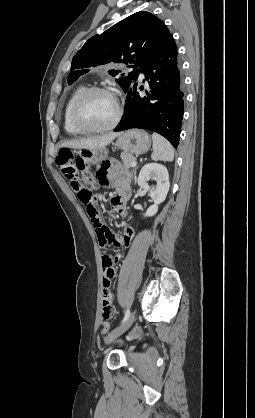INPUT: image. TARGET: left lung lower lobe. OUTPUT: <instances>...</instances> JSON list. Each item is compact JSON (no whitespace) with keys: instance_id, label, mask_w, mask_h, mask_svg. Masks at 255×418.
Returning a JSON list of instances; mask_svg holds the SVG:
<instances>
[{"instance_id":"0a47b994","label":"left lung lower lobe","mask_w":255,"mask_h":418,"mask_svg":"<svg viewBox=\"0 0 255 418\" xmlns=\"http://www.w3.org/2000/svg\"><path fill=\"white\" fill-rule=\"evenodd\" d=\"M150 86L147 97L136 92V83L127 91L126 110L114 131L147 129L164 136L177 147L184 112L183 74L173 37L164 49L149 57L136 71Z\"/></svg>"}]
</instances>
